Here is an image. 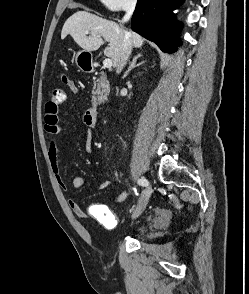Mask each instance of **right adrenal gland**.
<instances>
[{
  "label": "right adrenal gland",
  "mask_w": 249,
  "mask_h": 294,
  "mask_svg": "<svg viewBox=\"0 0 249 294\" xmlns=\"http://www.w3.org/2000/svg\"><path fill=\"white\" fill-rule=\"evenodd\" d=\"M141 56H142V54H141V53H138V54L133 58V60H132V62H131V64H130L128 70L126 71V74H128V73H129L132 69H134L135 67L140 66L141 64L144 63V62H141V63H138V64H137V60H138V58H140Z\"/></svg>",
  "instance_id": "right-adrenal-gland-1"
}]
</instances>
